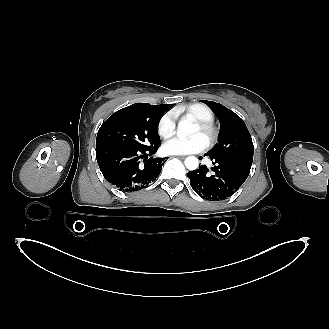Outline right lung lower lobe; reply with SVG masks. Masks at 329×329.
Returning a JSON list of instances; mask_svg holds the SVG:
<instances>
[{
	"mask_svg": "<svg viewBox=\"0 0 329 329\" xmlns=\"http://www.w3.org/2000/svg\"><path fill=\"white\" fill-rule=\"evenodd\" d=\"M160 143L145 149L119 145L96 147V159L105 179L123 192L148 187L159 176L165 158L147 159ZM144 159V166L141 164Z\"/></svg>",
	"mask_w": 329,
	"mask_h": 329,
	"instance_id": "1",
	"label": "right lung lower lobe"
}]
</instances>
